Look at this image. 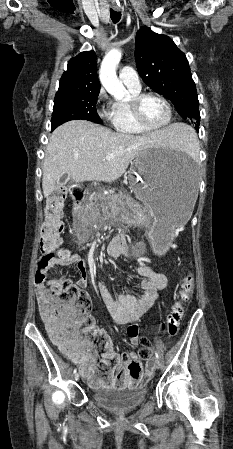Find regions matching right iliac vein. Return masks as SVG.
Returning a JSON list of instances; mask_svg holds the SVG:
<instances>
[{
	"label": "right iliac vein",
	"instance_id": "obj_1",
	"mask_svg": "<svg viewBox=\"0 0 233 449\" xmlns=\"http://www.w3.org/2000/svg\"><path fill=\"white\" fill-rule=\"evenodd\" d=\"M79 373H75V375H74V379H75V381H78L79 380Z\"/></svg>",
	"mask_w": 233,
	"mask_h": 449
}]
</instances>
